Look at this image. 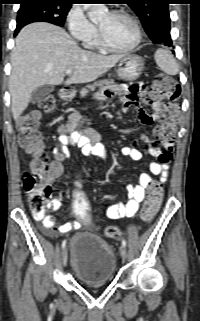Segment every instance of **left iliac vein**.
Wrapping results in <instances>:
<instances>
[{
    "mask_svg": "<svg viewBox=\"0 0 200 321\" xmlns=\"http://www.w3.org/2000/svg\"><path fill=\"white\" fill-rule=\"evenodd\" d=\"M120 254H121V257L123 258V259H125L126 258V256H127V250H126V247L125 246H121L120 247Z\"/></svg>",
    "mask_w": 200,
    "mask_h": 321,
    "instance_id": "1",
    "label": "left iliac vein"
}]
</instances>
